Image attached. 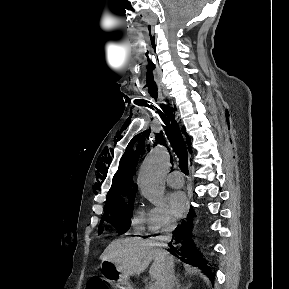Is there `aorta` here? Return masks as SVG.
Returning a JSON list of instances; mask_svg holds the SVG:
<instances>
[{"label": "aorta", "mask_w": 289, "mask_h": 289, "mask_svg": "<svg viewBox=\"0 0 289 289\" xmlns=\"http://www.w3.org/2000/svg\"><path fill=\"white\" fill-rule=\"evenodd\" d=\"M169 167V153L162 145L155 146L141 164L138 188L154 205H160L164 197L163 178Z\"/></svg>", "instance_id": "762f6f07"}]
</instances>
